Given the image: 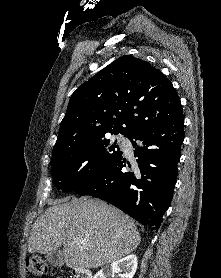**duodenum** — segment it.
<instances>
[{
  "label": "duodenum",
  "instance_id": "duodenum-1",
  "mask_svg": "<svg viewBox=\"0 0 221 278\" xmlns=\"http://www.w3.org/2000/svg\"><path fill=\"white\" fill-rule=\"evenodd\" d=\"M74 278H92V274L85 268L76 267L73 269Z\"/></svg>",
  "mask_w": 221,
  "mask_h": 278
}]
</instances>
